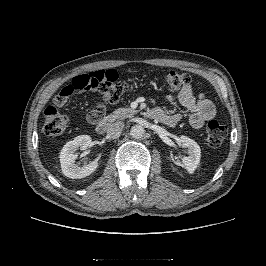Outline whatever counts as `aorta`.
I'll use <instances>...</instances> for the list:
<instances>
[{
    "instance_id": "1",
    "label": "aorta",
    "mask_w": 266,
    "mask_h": 266,
    "mask_svg": "<svg viewBox=\"0 0 266 266\" xmlns=\"http://www.w3.org/2000/svg\"><path fill=\"white\" fill-rule=\"evenodd\" d=\"M130 135L134 139H142L145 136V129L141 125H134L131 127Z\"/></svg>"
}]
</instances>
